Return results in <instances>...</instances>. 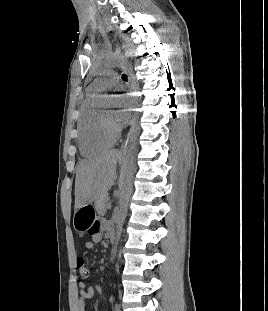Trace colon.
<instances>
[{
  "instance_id": "obj_1",
  "label": "colon",
  "mask_w": 268,
  "mask_h": 311,
  "mask_svg": "<svg viewBox=\"0 0 268 311\" xmlns=\"http://www.w3.org/2000/svg\"><path fill=\"white\" fill-rule=\"evenodd\" d=\"M77 269L79 271V275L83 278H86L89 276V269L87 268L86 266V263H85V259L84 257L82 256H79L77 258Z\"/></svg>"
}]
</instances>
